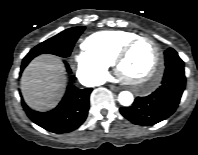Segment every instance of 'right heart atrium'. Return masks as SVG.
Returning <instances> with one entry per match:
<instances>
[{
	"label": "right heart atrium",
	"mask_w": 198,
	"mask_h": 155,
	"mask_svg": "<svg viewBox=\"0 0 198 155\" xmlns=\"http://www.w3.org/2000/svg\"><path fill=\"white\" fill-rule=\"evenodd\" d=\"M78 77L88 83H98L107 76L108 64L84 49L72 56Z\"/></svg>",
	"instance_id": "obj_1"
}]
</instances>
